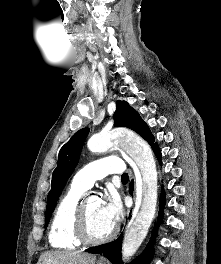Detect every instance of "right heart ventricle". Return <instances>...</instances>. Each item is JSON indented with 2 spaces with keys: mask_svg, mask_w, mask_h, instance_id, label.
Listing matches in <instances>:
<instances>
[{
  "mask_svg": "<svg viewBox=\"0 0 221 264\" xmlns=\"http://www.w3.org/2000/svg\"><path fill=\"white\" fill-rule=\"evenodd\" d=\"M85 191L86 189L72 182L60 199L49 232V241L54 248L73 250L81 245L74 235L73 218L76 206Z\"/></svg>",
  "mask_w": 221,
  "mask_h": 264,
  "instance_id": "right-heart-ventricle-1",
  "label": "right heart ventricle"
}]
</instances>
